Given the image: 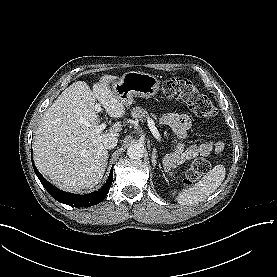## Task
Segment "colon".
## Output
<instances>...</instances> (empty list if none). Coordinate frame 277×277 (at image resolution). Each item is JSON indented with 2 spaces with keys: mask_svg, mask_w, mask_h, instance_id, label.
I'll return each instance as SVG.
<instances>
[{
  "mask_svg": "<svg viewBox=\"0 0 277 277\" xmlns=\"http://www.w3.org/2000/svg\"><path fill=\"white\" fill-rule=\"evenodd\" d=\"M163 93L167 98L185 101L200 118L209 119L216 115L217 109L212 101L201 93L186 77H171L164 81ZM210 163L204 159L195 160L186 173L184 183L193 184L210 170Z\"/></svg>",
  "mask_w": 277,
  "mask_h": 277,
  "instance_id": "1",
  "label": "colon"
}]
</instances>
